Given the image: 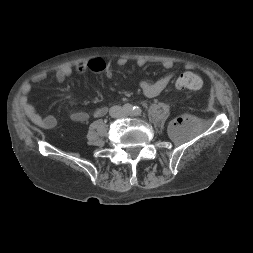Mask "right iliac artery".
Wrapping results in <instances>:
<instances>
[{
	"label": "right iliac artery",
	"instance_id": "right-iliac-artery-1",
	"mask_svg": "<svg viewBox=\"0 0 253 253\" xmlns=\"http://www.w3.org/2000/svg\"><path fill=\"white\" fill-rule=\"evenodd\" d=\"M125 110H126L127 112H131V111H133V107H132L130 104H126V105H125Z\"/></svg>",
	"mask_w": 253,
	"mask_h": 253
}]
</instances>
